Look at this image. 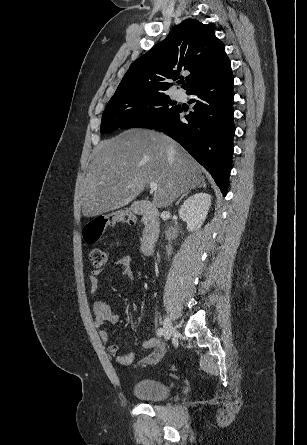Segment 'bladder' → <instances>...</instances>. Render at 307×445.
Masks as SVG:
<instances>
[{"label": "bladder", "instance_id": "1", "mask_svg": "<svg viewBox=\"0 0 307 445\" xmlns=\"http://www.w3.org/2000/svg\"><path fill=\"white\" fill-rule=\"evenodd\" d=\"M171 390L169 384L155 378L141 379L133 385V393L137 398L152 402L168 398Z\"/></svg>", "mask_w": 307, "mask_h": 445}]
</instances>
